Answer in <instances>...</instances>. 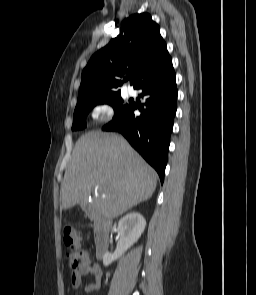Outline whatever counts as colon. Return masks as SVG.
<instances>
[{
    "mask_svg": "<svg viewBox=\"0 0 256 295\" xmlns=\"http://www.w3.org/2000/svg\"><path fill=\"white\" fill-rule=\"evenodd\" d=\"M63 240L69 249L67 262L71 270H76L89 261L87 253L80 248V237L72 226L64 228Z\"/></svg>",
    "mask_w": 256,
    "mask_h": 295,
    "instance_id": "1",
    "label": "colon"
}]
</instances>
